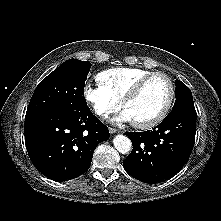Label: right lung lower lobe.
I'll return each instance as SVG.
<instances>
[{
	"label": "right lung lower lobe",
	"instance_id": "1",
	"mask_svg": "<svg viewBox=\"0 0 221 221\" xmlns=\"http://www.w3.org/2000/svg\"><path fill=\"white\" fill-rule=\"evenodd\" d=\"M25 144L38 171L57 181L85 173L95 147L109 139L107 126L90 109L67 113L42 111L26 114Z\"/></svg>",
	"mask_w": 221,
	"mask_h": 221
}]
</instances>
